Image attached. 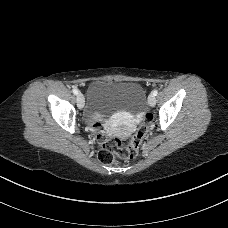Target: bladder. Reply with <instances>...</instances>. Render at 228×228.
Instances as JSON below:
<instances>
[{"instance_id": "31cf9c89", "label": "bladder", "mask_w": 228, "mask_h": 228, "mask_svg": "<svg viewBox=\"0 0 228 228\" xmlns=\"http://www.w3.org/2000/svg\"><path fill=\"white\" fill-rule=\"evenodd\" d=\"M86 118L91 123L105 120L119 111L134 114L143 110L146 93L137 82L97 80L87 89Z\"/></svg>"}]
</instances>
